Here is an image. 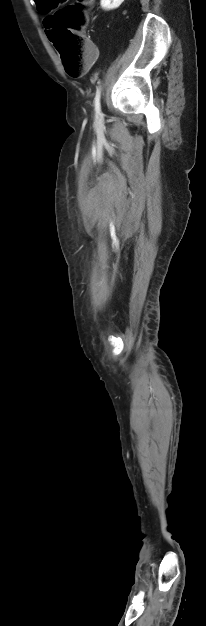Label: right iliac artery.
Returning a JSON list of instances; mask_svg holds the SVG:
<instances>
[{
	"instance_id": "1",
	"label": "right iliac artery",
	"mask_w": 206,
	"mask_h": 626,
	"mask_svg": "<svg viewBox=\"0 0 206 626\" xmlns=\"http://www.w3.org/2000/svg\"><path fill=\"white\" fill-rule=\"evenodd\" d=\"M100 93H101V89L99 87L97 89L96 96L94 99L95 111H96L97 116L100 114Z\"/></svg>"
}]
</instances>
